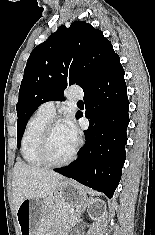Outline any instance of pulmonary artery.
I'll use <instances>...</instances> for the list:
<instances>
[{
    "mask_svg": "<svg viewBox=\"0 0 155 235\" xmlns=\"http://www.w3.org/2000/svg\"><path fill=\"white\" fill-rule=\"evenodd\" d=\"M70 95L74 98H82L83 97V91L79 87H73L70 89ZM41 112L53 116L56 111V105L54 101H47L40 105L39 109Z\"/></svg>",
    "mask_w": 155,
    "mask_h": 235,
    "instance_id": "obj_1",
    "label": "pulmonary artery"
}]
</instances>
